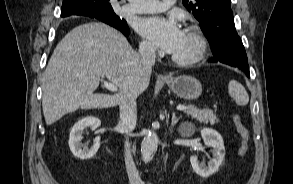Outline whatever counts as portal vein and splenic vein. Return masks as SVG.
I'll use <instances>...</instances> for the list:
<instances>
[{"label": "portal vein and splenic vein", "mask_w": 293, "mask_h": 184, "mask_svg": "<svg viewBox=\"0 0 293 184\" xmlns=\"http://www.w3.org/2000/svg\"><path fill=\"white\" fill-rule=\"evenodd\" d=\"M103 82H104V87H105L106 89H108L109 91H112V92H117V91H118L117 86L114 85L113 83H111V82H107V81H103ZM186 109H187V107L184 106V105H178V106H177V110H179V111H184V110H186Z\"/></svg>", "instance_id": "obj_1"}]
</instances>
